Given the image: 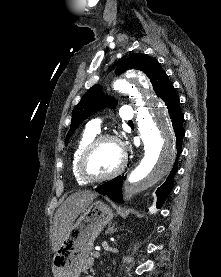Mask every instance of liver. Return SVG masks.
Wrapping results in <instances>:
<instances>
[{
	"instance_id": "obj_1",
	"label": "liver",
	"mask_w": 221,
	"mask_h": 277,
	"mask_svg": "<svg viewBox=\"0 0 221 277\" xmlns=\"http://www.w3.org/2000/svg\"><path fill=\"white\" fill-rule=\"evenodd\" d=\"M98 196L91 191H80L71 194L55 213L51 234L52 251L56 252L67 238L69 230L78 215Z\"/></svg>"
}]
</instances>
